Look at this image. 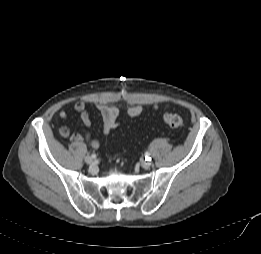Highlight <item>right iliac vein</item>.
<instances>
[{"mask_svg": "<svg viewBox=\"0 0 261 254\" xmlns=\"http://www.w3.org/2000/svg\"><path fill=\"white\" fill-rule=\"evenodd\" d=\"M84 160H85V162L87 164H92L93 163V158L91 156H89V155H87Z\"/></svg>", "mask_w": 261, "mask_h": 254, "instance_id": "obj_1", "label": "right iliac vein"}]
</instances>
